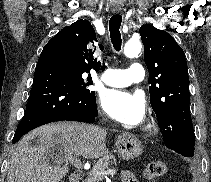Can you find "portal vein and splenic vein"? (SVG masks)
<instances>
[{
    "mask_svg": "<svg viewBox=\"0 0 211 182\" xmlns=\"http://www.w3.org/2000/svg\"><path fill=\"white\" fill-rule=\"evenodd\" d=\"M65 158L67 161H70L78 169H80L82 167L81 161L78 158H76L75 156L69 154ZM115 172L116 171L114 169H109L107 172H104L103 174L108 175V174H114Z\"/></svg>",
    "mask_w": 211,
    "mask_h": 182,
    "instance_id": "1",
    "label": "portal vein and splenic vein"
}]
</instances>
